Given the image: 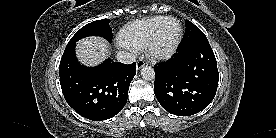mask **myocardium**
I'll use <instances>...</instances> for the list:
<instances>
[{
	"instance_id": "f54148a6",
	"label": "myocardium",
	"mask_w": 276,
	"mask_h": 138,
	"mask_svg": "<svg viewBox=\"0 0 276 138\" xmlns=\"http://www.w3.org/2000/svg\"><path fill=\"white\" fill-rule=\"evenodd\" d=\"M171 20H174L178 23L179 32H178L176 38L174 39V41L169 46L165 47L160 44V39H161V35H162L165 25ZM183 34H184L183 26H182L180 20L173 16L167 17L165 20H163L159 24V26L155 30L150 42L147 45L148 57L152 60H164V59L171 57L178 49V47L182 41Z\"/></svg>"
}]
</instances>
